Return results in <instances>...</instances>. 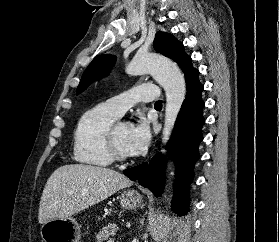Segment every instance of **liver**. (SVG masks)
I'll use <instances>...</instances> for the list:
<instances>
[{
  "label": "liver",
  "instance_id": "liver-1",
  "mask_svg": "<svg viewBox=\"0 0 279 242\" xmlns=\"http://www.w3.org/2000/svg\"><path fill=\"white\" fill-rule=\"evenodd\" d=\"M131 185L125 175L112 169L84 164L61 166L52 173L44 187L39 223L68 218Z\"/></svg>",
  "mask_w": 279,
  "mask_h": 242
}]
</instances>
